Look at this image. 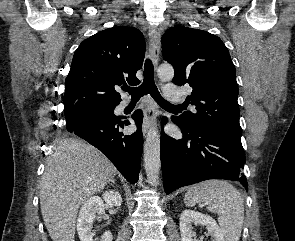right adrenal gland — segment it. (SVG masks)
Here are the masks:
<instances>
[{"label":"right adrenal gland","mask_w":295,"mask_h":241,"mask_svg":"<svg viewBox=\"0 0 295 241\" xmlns=\"http://www.w3.org/2000/svg\"><path fill=\"white\" fill-rule=\"evenodd\" d=\"M108 183H109V184H110V183L115 184L114 176H111V177L109 178Z\"/></svg>","instance_id":"2a0ac1e0"}]
</instances>
